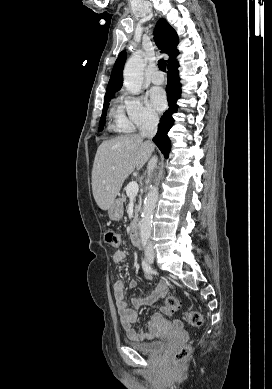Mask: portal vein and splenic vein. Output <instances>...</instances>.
<instances>
[{
	"mask_svg": "<svg viewBox=\"0 0 272 389\" xmlns=\"http://www.w3.org/2000/svg\"><path fill=\"white\" fill-rule=\"evenodd\" d=\"M139 187L137 182L132 181L126 187V194L129 197H135L138 193Z\"/></svg>",
	"mask_w": 272,
	"mask_h": 389,
	"instance_id": "18ae733b",
	"label": "portal vein and splenic vein"
}]
</instances>
